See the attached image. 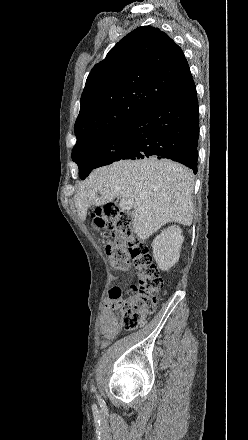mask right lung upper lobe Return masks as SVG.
<instances>
[{
	"label": "right lung upper lobe",
	"mask_w": 248,
	"mask_h": 440,
	"mask_svg": "<svg viewBox=\"0 0 248 440\" xmlns=\"http://www.w3.org/2000/svg\"><path fill=\"white\" fill-rule=\"evenodd\" d=\"M193 87L183 51L166 33L151 26L133 30L88 75L73 149L127 125L152 104Z\"/></svg>",
	"instance_id": "cb5924a9"
}]
</instances>
